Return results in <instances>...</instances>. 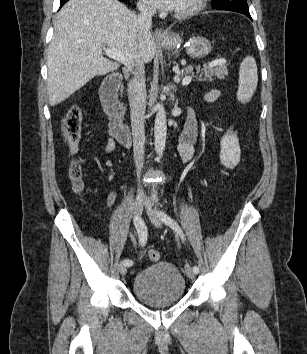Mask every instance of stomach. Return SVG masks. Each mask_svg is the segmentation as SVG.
<instances>
[{
	"instance_id": "stomach-1",
	"label": "stomach",
	"mask_w": 307,
	"mask_h": 354,
	"mask_svg": "<svg viewBox=\"0 0 307 354\" xmlns=\"http://www.w3.org/2000/svg\"><path fill=\"white\" fill-rule=\"evenodd\" d=\"M157 43L163 49L173 51L180 48L183 38L175 32H170L164 39H158ZM210 41L202 36H193L186 46L187 54L192 58H204L211 52Z\"/></svg>"
}]
</instances>
